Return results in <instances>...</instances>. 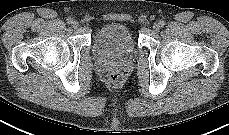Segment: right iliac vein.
I'll use <instances>...</instances> for the list:
<instances>
[{
	"mask_svg": "<svg viewBox=\"0 0 229 135\" xmlns=\"http://www.w3.org/2000/svg\"><path fill=\"white\" fill-rule=\"evenodd\" d=\"M73 28H78L79 27V22L78 21H73L72 22Z\"/></svg>",
	"mask_w": 229,
	"mask_h": 135,
	"instance_id": "obj_1",
	"label": "right iliac vein"
}]
</instances>
